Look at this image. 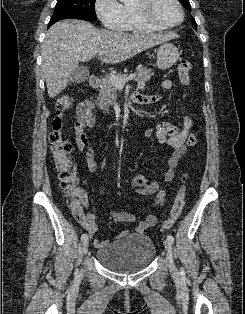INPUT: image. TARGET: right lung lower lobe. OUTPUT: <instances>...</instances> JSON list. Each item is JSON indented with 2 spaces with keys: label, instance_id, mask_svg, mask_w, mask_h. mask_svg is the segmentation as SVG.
Returning <instances> with one entry per match:
<instances>
[{
  "label": "right lung lower lobe",
  "instance_id": "obj_1",
  "mask_svg": "<svg viewBox=\"0 0 245 314\" xmlns=\"http://www.w3.org/2000/svg\"><path fill=\"white\" fill-rule=\"evenodd\" d=\"M55 22H49L48 28L53 25Z\"/></svg>",
  "mask_w": 245,
  "mask_h": 314
}]
</instances>
